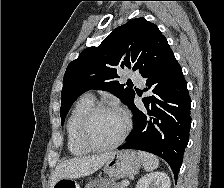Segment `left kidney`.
Returning <instances> with one entry per match:
<instances>
[{"instance_id":"obj_1","label":"left kidney","mask_w":224,"mask_h":188,"mask_svg":"<svg viewBox=\"0 0 224 188\" xmlns=\"http://www.w3.org/2000/svg\"><path fill=\"white\" fill-rule=\"evenodd\" d=\"M169 176L164 172L149 173L138 181L135 188H170Z\"/></svg>"}]
</instances>
